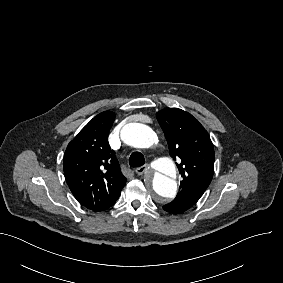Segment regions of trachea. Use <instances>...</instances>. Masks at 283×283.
Segmentation results:
<instances>
[{
    "label": "trachea",
    "mask_w": 283,
    "mask_h": 283,
    "mask_svg": "<svg viewBox=\"0 0 283 283\" xmlns=\"http://www.w3.org/2000/svg\"><path fill=\"white\" fill-rule=\"evenodd\" d=\"M145 164V158L142 153L136 151L130 155L129 158V165L132 168H138Z\"/></svg>",
    "instance_id": "3493384b"
}]
</instances>
